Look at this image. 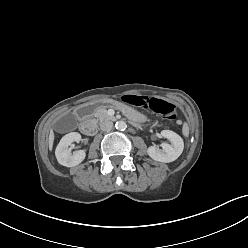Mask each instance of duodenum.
I'll use <instances>...</instances> for the list:
<instances>
[{
  "label": "duodenum",
  "instance_id": "obj_1",
  "mask_svg": "<svg viewBox=\"0 0 248 248\" xmlns=\"http://www.w3.org/2000/svg\"><path fill=\"white\" fill-rule=\"evenodd\" d=\"M86 105H88V103L82 104L77 109V115L81 120L80 129L85 135H93L97 130V126L94 122L87 121V118L90 116V114H86L84 112V107Z\"/></svg>",
  "mask_w": 248,
  "mask_h": 248
}]
</instances>
